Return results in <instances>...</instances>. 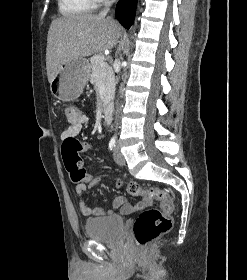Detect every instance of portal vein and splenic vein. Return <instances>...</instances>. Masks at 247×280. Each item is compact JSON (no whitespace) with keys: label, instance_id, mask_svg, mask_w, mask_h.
Listing matches in <instances>:
<instances>
[{"label":"portal vein and splenic vein","instance_id":"18ae733b","mask_svg":"<svg viewBox=\"0 0 247 280\" xmlns=\"http://www.w3.org/2000/svg\"><path fill=\"white\" fill-rule=\"evenodd\" d=\"M102 68H106V67H108V64L107 63H102Z\"/></svg>","mask_w":247,"mask_h":280}]
</instances>
